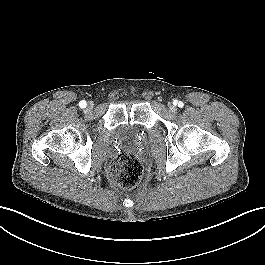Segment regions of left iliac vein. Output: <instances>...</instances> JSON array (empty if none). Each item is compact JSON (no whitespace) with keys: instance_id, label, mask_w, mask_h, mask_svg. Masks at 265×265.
I'll return each mask as SVG.
<instances>
[{"instance_id":"4c4485c4","label":"left iliac vein","mask_w":265,"mask_h":265,"mask_svg":"<svg viewBox=\"0 0 265 265\" xmlns=\"http://www.w3.org/2000/svg\"><path fill=\"white\" fill-rule=\"evenodd\" d=\"M170 108H171L172 110H174V109H175V107H174L173 105H171V106H170Z\"/></svg>"}]
</instances>
